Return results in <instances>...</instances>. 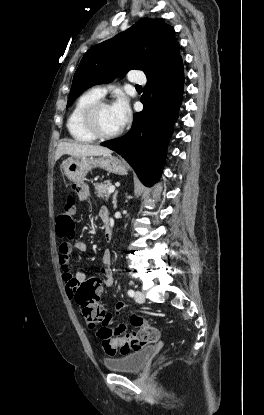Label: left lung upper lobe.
<instances>
[{
	"label": "left lung upper lobe",
	"mask_w": 264,
	"mask_h": 415,
	"mask_svg": "<svg viewBox=\"0 0 264 415\" xmlns=\"http://www.w3.org/2000/svg\"><path fill=\"white\" fill-rule=\"evenodd\" d=\"M140 54L148 55L147 60ZM180 57L174 29L163 19L142 18L114 38L89 49L82 58L71 86L67 108L87 88L112 81L131 69L152 75Z\"/></svg>",
	"instance_id": "5c2ea615"
}]
</instances>
